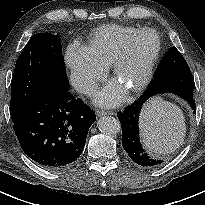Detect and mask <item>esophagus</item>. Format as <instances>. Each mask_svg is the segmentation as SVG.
Here are the masks:
<instances>
[{
    "instance_id": "esophagus-1",
    "label": "esophagus",
    "mask_w": 205,
    "mask_h": 205,
    "mask_svg": "<svg viewBox=\"0 0 205 205\" xmlns=\"http://www.w3.org/2000/svg\"><path fill=\"white\" fill-rule=\"evenodd\" d=\"M96 115H97L98 117H100V116H105V115H114V112H112V111L97 110V111H96Z\"/></svg>"
}]
</instances>
